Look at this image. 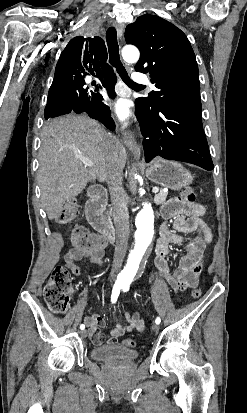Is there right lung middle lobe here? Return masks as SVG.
Instances as JSON below:
<instances>
[{
  "label": "right lung middle lobe",
  "mask_w": 247,
  "mask_h": 413,
  "mask_svg": "<svg viewBox=\"0 0 247 413\" xmlns=\"http://www.w3.org/2000/svg\"><path fill=\"white\" fill-rule=\"evenodd\" d=\"M77 89V85L72 82H53L49 94V99H58L72 95Z\"/></svg>",
  "instance_id": "right-lung-middle-lobe-1"
}]
</instances>
